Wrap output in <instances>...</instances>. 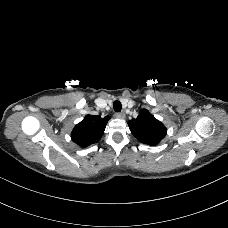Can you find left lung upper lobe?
<instances>
[{
  "label": "left lung upper lobe",
  "mask_w": 228,
  "mask_h": 228,
  "mask_svg": "<svg viewBox=\"0 0 228 228\" xmlns=\"http://www.w3.org/2000/svg\"><path fill=\"white\" fill-rule=\"evenodd\" d=\"M128 125L132 134L144 144L156 145L166 136L165 126L146 109L136 119L130 120Z\"/></svg>",
  "instance_id": "obj_1"
}]
</instances>
